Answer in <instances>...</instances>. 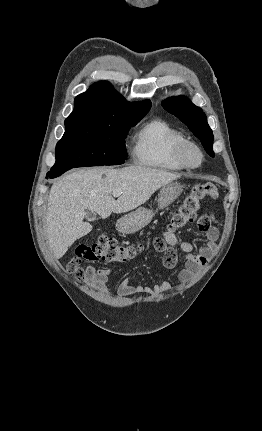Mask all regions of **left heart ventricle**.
<instances>
[{
    "label": "left heart ventricle",
    "instance_id": "obj_1",
    "mask_svg": "<svg viewBox=\"0 0 262 431\" xmlns=\"http://www.w3.org/2000/svg\"><path fill=\"white\" fill-rule=\"evenodd\" d=\"M189 161L191 163H193V164L197 163V161H198L197 155L196 154H191L190 157H189Z\"/></svg>",
    "mask_w": 262,
    "mask_h": 431
}]
</instances>
